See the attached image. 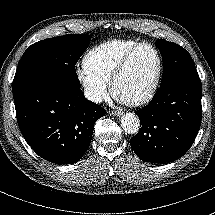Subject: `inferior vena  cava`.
I'll use <instances>...</instances> for the list:
<instances>
[{
    "label": "inferior vena cava",
    "instance_id": "1",
    "mask_svg": "<svg viewBox=\"0 0 215 215\" xmlns=\"http://www.w3.org/2000/svg\"><path fill=\"white\" fill-rule=\"evenodd\" d=\"M84 96L86 99L95 102L100 103L102 102V96L99 92V90L94 85H88L84 89Z\"/></svg>",
    "mask_w": 215,
    "mask_h": 215
}]
</instances>
